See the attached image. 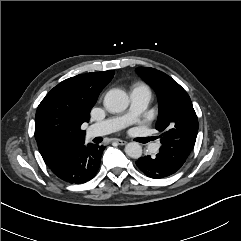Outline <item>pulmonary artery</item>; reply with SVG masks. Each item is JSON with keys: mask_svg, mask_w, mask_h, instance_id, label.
I'll return each mask as SVG.
<instances>
[{"mask_svg": "<svg viewBox=\"0 0 241 241\" xmlns=\"http://www.w3.org/2000/svg\"><path fill=\"white\" fill-rule=\"evenodd\" d=\"M130 99L131 106L125 114L91 125L87 130V136H103L136 122L151 100V91L146 86H135L130 92Z\"/></svg>", "mask_w": 241, "mask_h": 241, "instance_id": "e3ab8cb5", "label": "pulmonary artery"}]
</instances>
